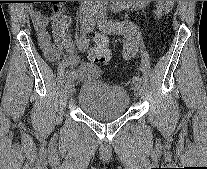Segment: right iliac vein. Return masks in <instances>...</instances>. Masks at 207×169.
<instances>
[{
	"mask_svg": "<svg viewBox=\"0 0 207 169\" xmlns=\"http://www.w3.org/2000/svg\"><path fill=\"white\" fill-rule=\"evenodd\" d=\"M81 24H82L83 29H88L91 26L92 21L87 17H83ZM66 88H67L68 95L72 96L74 93V90H75V84H74L73 80H70L67 82Z\"/></svg>",
	"mask_w": 207,
	"mask_h": 169,
	"instance_id": "63e3f726",
	"label": "right iliac vein"
}]
</instances>
